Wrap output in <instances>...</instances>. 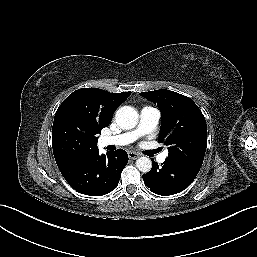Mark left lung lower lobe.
Masks as SVG:
<instances>
[{
    "label": "left lung lower lobe",
    "mask_w": 257,
    "mask_h": 257,
    "mask_svg": "<svg viewBox=\"0 0 257 257\" xmlns=\"http://www.w3.org/2000/svg\"><path fill=\"white\" fill-rule=\"evenodd\" d=\"M201 166L182 159L167 157L162 166L157 163L143 175L150 190L158 195H172L186 189L197 176Z\"/></svg>",
    "instance_id": "0a47b994"
}]
</instances>
